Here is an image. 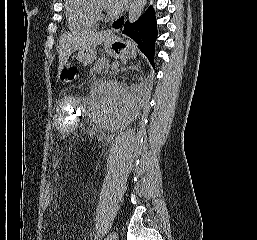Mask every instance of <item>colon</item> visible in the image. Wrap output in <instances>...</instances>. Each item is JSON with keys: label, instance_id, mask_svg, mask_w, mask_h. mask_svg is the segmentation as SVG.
I'll list each match as a JSON object with an SVG mask.
<instances>
[{"label": "colon", "instance_id": "5ec220e1", "mask_svg": "<svg viewBox=\"0 0 257 240\" xmlns=\"http://www.w3.org/2000/svg\"><path fill=\"white\" fill-rule=\"evenodd\" d=\"M77 67L74 64H67L61 71V80L64 83L71 84L77 78ZM53 203V193L50 183H47L44 190V208L48 210Z\"/></svg>", "mask_w": 257, "mask_h": 240}]
</instances>
